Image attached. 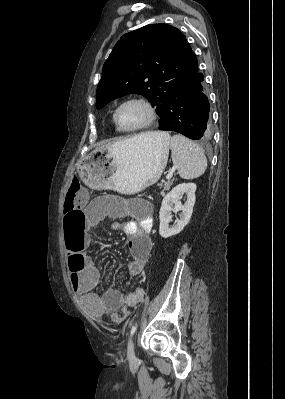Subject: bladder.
I'll list each match as a JSON object with an SVG mask.
<instances>
[{
  "label": "bladder",
  "instance_id": "1",
  "mask_svg": "<svg viewBox=\"0 0 285 399\" xmlns=\"http://www.w3.org/2000/svg\"><path fill=\"white\" fill-rule=\"evenodd\" d=\"M142 203H143L144 205H148V204H149V201L143 200Z\"/></svg>",
  "mask_w": 285,
  "mask_h": 399
}]
</instances>
